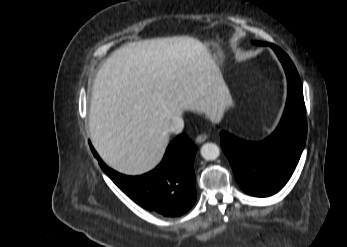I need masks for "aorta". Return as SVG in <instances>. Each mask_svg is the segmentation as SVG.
Returning a JSON list of instances; mask_svg holds the SVG:
<instances>
[{
    "label": "aorta",
    "mask_w": 347,
    "mask_h": 247,
    "mask_svg": "<svg viewBox=\"0 0 347 247\" xmlns=\"http://www.w3.org/2000/svg\"><path fill=\"white\" fill-rule=\"evenodd\" d=\"M201 156L205 160H215L220 155V149L215 143H205L200 149Z\"/></svg>",
    "instance_id": "aorta-1"
}]
</instances>
